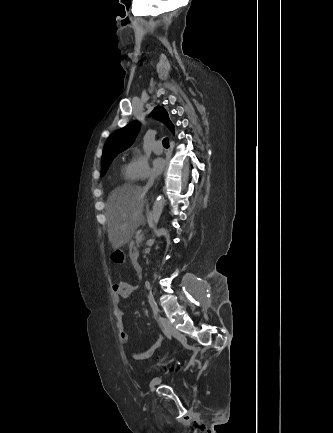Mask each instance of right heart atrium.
<instances>
[{
  "instance_id": "obj_1",
  "label": "right heart atrium",
  "mask_w": 333,
  "mask_h": 433,
  "mask_svg": "<svg viewBox=\"0 0 333 433\" xmlns=\"http://www.w3.org/2000/svg\"><path fill=\"white\" fill-rule=\"evenodd\" d=\"M128 168L134 180H144L153 176L149 161L137 152H133Z\"/></svg>"
}]
</instances>
